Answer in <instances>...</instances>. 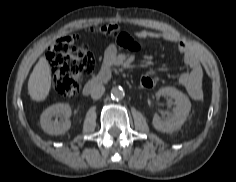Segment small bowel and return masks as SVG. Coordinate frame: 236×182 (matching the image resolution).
<instances>
[{
  "label": "small bowel",
  "mask_w": 236,
  "mask_h": 182,
  "mask_svg": "<svg viewBox=\"0 0 236 182\" xmlns=\"http://www.w3.org/2000/svg\"><path fill=\"white\" fill-rule=\"evenodd\" d=\"M137 36L140 39H161L176 43L178 52L188 66V70L179 75L178 82L184 87L193 100H200L203 98V68L197 53L192 47L171 32L156 33L141 30L137 33Z\"/></svg>",
  "instance_id": "1"
}]
</instances>
